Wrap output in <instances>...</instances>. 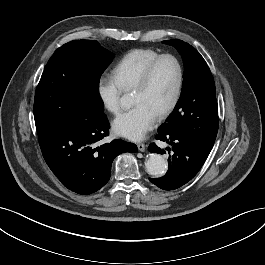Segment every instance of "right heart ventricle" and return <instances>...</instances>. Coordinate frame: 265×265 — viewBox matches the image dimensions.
I'll return each instance as SVG.
<instances>
[{"label":"right heart ventricle","mask_w":265,"mask_h":265,"mask_svg":"<svg viewBox=\"0 0 265 265\" xmlns=\"http://www.w3.org/2000/svg\"><path fill=\"white\" fill-rule=\"evenodd\" d=\"M158 56L159 53L151 49L130 50L114 66L113 77L122 90H130L134 87L145 67Z\"/></svg>","instance_id":"obj_1"}]
</instances>
